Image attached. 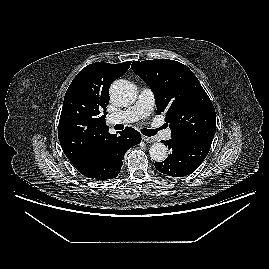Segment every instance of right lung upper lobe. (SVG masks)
Here are the masks:
<instances>
[{"label": "right lung upper lobe", "mask_w": 269, "mask_h": 269, "mask_svg": "<svg viewBox=\"0 0 269 269\" xmlns=\"http://www.w3.org/2000/svg\"><path fill=\"white\" fill-rule=\"evenodd\" d=\"M131 61L97 62L86 66L68 87L61 111L58 138L71 163L86 159L116 134L105 124L111 83L125 74Z\"/></svg>", "instance_id": "right-lung-upper-lobe-1"}]
</instances>
